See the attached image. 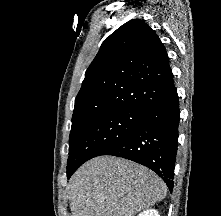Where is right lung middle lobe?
Here are the masks:
<instances>
[{
  "mask_svg": "<svg viewBox=\"0 0 221 216\" xmlns=\"http://www.w3.org/2000/svg\"><path fill=\"white\" fill-rule=\"evenodd\" d=\"M142 117V110L120 109L72 125L67 174L72 167L103 155L127 138L136 129Z\"/></svg>",
  "mask_w": 221,
  "mask_h": 216,
  "instance_id": "right-lung-middle-lobe-1",
  "label": "right lung middle lobe"
}]
</instances>
